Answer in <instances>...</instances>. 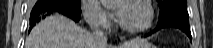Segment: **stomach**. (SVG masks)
Instances as JSON below:
<instances>
[{"mask_svg":"<svg viewBox=\"0 0 213 48\" xmlns=\"http://www.w3.org/2000/svg\"><path fill=\"white\" fill-rule=\"evenodd\" d=\"M135 48H157V47L148 43L144 45H139L138 47H135Z\"/></svg>","mask_w":213,"mask_h":48,"instance_id":"stomach-1","label":"stomach"}]
</instances>
